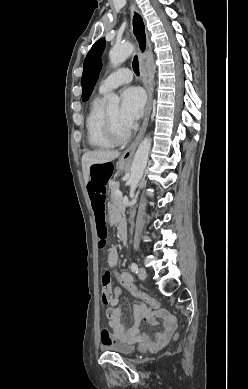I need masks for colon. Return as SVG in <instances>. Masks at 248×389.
<instances>
[{
    "label": "colon",
    "instance_id": "obj_1",
    "mask_svg": "<svg viewBox=\"0 0 248 389\" xmlns=\"http://www.w3.org/2000/svg\"><path fill=\"white\" fill-rule=\"evenodd\" d=\"M113 166L110 161H101L100 165H93L91 167L90 179L87 180V189L88 196L94 211L95 217H97V236L99 239L98 245L100 249H103L106 244L107 239V229L105 226V187L108 184L109 177L113 175ZM111 272L114 275V278L118 280L119 285L113 287V298H122L123 292L122 288H125V291H132V295L138 299H141L145 303H148L152 308H159L160 303L148 294L138 290L137 284H133L132 281H129L128 277H121L119 274L121 272L120 268H116L115 265L111 266ZM111 284L112 276L109 270H106L101 276V286H102V301L107 304L111 298Z\"/></svg>",
    "mask_w": 248,
    "mask_h": 389
}]
</instances>
